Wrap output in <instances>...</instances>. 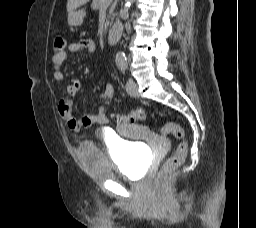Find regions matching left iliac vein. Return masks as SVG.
<instances>
[{"instance_id": "left-iliac-vein-1", "label": "left iliac vein", "mask_w": 256, "mask_h": 228, "mask_svg": "<svg viewBox=\"0 0 256 228\" xmlns=\"http://www.w3.org/2000/svg\"><path fill=\"white\" fill-rule=\"evenodd\" d=\"M126 91L131 97H138L139 96L138 86L132 78H129V80L126 84Z\"/></svg>"}]
</instances>
